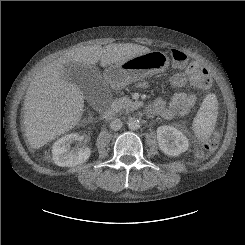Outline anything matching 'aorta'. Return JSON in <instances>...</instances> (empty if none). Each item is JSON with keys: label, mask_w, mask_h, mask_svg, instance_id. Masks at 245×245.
<instances>
[{"label": "aorta", "mask_w": 245, "mask_h": 245, "mask_svg": "<svg viewBox=\"0 0 245 245\" xmlns=\"http://www.w3.org/2000/svg\"><path fill=\"white\" fill-rule=\"evenodd\" d=\"M128 128L131 130H137L140 128V121L137 118H129L127 122Z\"/></svg>", "instance_id": "762f6f07"}]
</instances>
